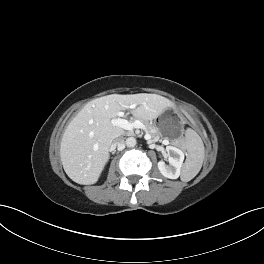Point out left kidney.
Here are the masks:
<instances>
[{
  "label": "left kidney",
  "mask_w": 264,
  "mask_h": 264,
  "mask_svg": "<svg viewBox=\"0 0 264 264\" xmlns=\"http://www.w3.org/2000/svg\"><path fill=\"white\" fill-rule=\"evenodd\" d=\"M166 151L169 155V165H166L163 161H159L158 169L164 177L169 179H177L181 174L184 153L182 150L174 146H167Z\"/></svg>",
  "instance_id": "left-kidney-1"
}]
</instances>
